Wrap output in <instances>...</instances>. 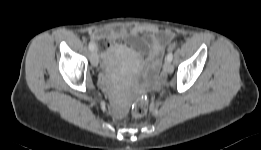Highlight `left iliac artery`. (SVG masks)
<instances>
[{"instance_id":"44dca946","label":"left iliac artery","mask_w":261,"mask_h":150,"mask_svg":"<svg viewBox=\"0 0 261 150\" xmlns=\"http://www.w3.org/2000/svg\"><path fill=\"white\" fill-rule=\"evenodd\" d=\"M166 59L168 60V61H172V59H173V54H172V52H169L168 54H167V57H166Z\"/></svg>"}]
</instances>
